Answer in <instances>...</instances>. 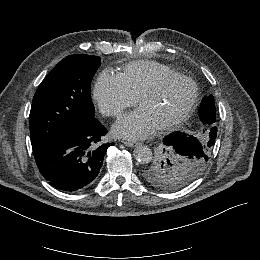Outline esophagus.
<instances>
[{"label": "esophagus", "instance_id": "esophagus-1", "mask_svg": "<svg viewBox=\"0 0 260 260\" xmlns=\"http://www.w3.org/2000/svg\"><path fill=\"white\" fill-rule=\"evenodd\" d=\"M122 143H124L128 147H136L139 145V143L136 141H122Z\"/></svg>", "mask_w": 260, "mask_h": 260}]
</instances>
